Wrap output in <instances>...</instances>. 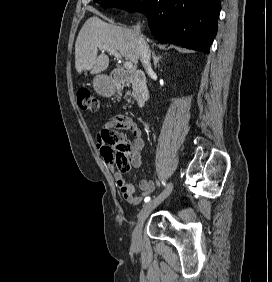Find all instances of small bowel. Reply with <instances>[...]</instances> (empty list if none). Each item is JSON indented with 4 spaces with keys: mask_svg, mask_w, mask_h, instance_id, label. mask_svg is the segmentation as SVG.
Listing matches in <instances>:
<instances>
[{
    "mask_svg": "<svg viewBox=\"0 0 272 282\" xmlns=\"http://www.w3.org/2000/svg\"><path fill=\"white\" fill-rule=\"evenodd\" d=\"M105 126L106 128H123L130 131L134 135V141L132 143L130 153L131 164L134 168H140L142 165L141 155L146 145V141L143 133L138 128L136 123L129 118L118 115L112 120L108 121ZM97 141H99V135H97ZM108 168L113 175L120 193L130 204H140L145 196L152 193L156 188V185L152 180L142 179L139 183L140 193L134 195V186L126 181L123 174L115 169V167L112 165H108Z\"/></svg>",
    "mask_w": 272,
    "mask_h": 282,
    "instance_id": "obj_1",
    "label": "small bowel"
}]
</instances>
